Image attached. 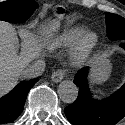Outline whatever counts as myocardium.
I'll return each instance as SVG.
<instances>
[{
  "label": "myocardium",
  "instance_id": "myocardium-1",
  "mask_svg": "<svg viewBox=\"0 0 125 125\" xmlns=\"http://www.w3.org/2000/svg\"><path fill=\"white\" fill-rule=\"evenodd\" d=\"M98 44L94 32H87L79 37L71 50V62L75 66L83 64Z\"/></svg>",
  "mask_w": 125,
  "mask_h": 125
}]
</instances>
